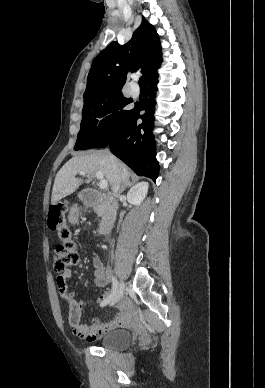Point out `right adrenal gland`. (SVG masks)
<instances>
[{"mask_svg":"<svg viewBox=\"0 0 265 388\" xmlns=\"http://www.w3.org/2000/svg\"><path fill=\"white\" fill-rule=\"evenodd\" d=\"M132 184L130 182V180H128V182H126V184H124V186H122L121 190H120V194H122V192H124V190H126V188H131Z\"/></svg>","mask_w":265,"mask_h":388,"instance_id":"2a0ac1e0","label":"right adrenal gland"}]
</instances>
